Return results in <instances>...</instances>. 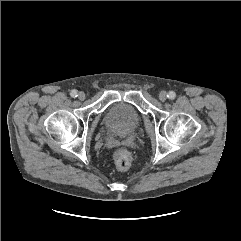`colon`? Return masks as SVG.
Listing matches in <instances>:
<instances>
[{"instance_id": "5ec220e1", "label": "colon", "mask_w": 241, "mask_h": 241, "mask_svg": "<svg viewBox=\"0 0 241 241\" xmlns=\"http://www.w3.org/2000/svg\"><path fill=\"white\" fill-rule=\"evenodd\" d=\"M113 160H114L115 166L119 170H125L130 166L131 156L128 151L124 149H117L113 153Z\"/></svg>"}]
</instances>
